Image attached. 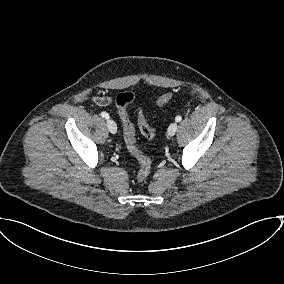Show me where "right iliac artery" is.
I'll return each instance as SVG.
<instances>
[{"label":"right iliac artery","mask_w":284,"mask_h":284,"mask_svg":"<svg viewBox=\"0 0 284 284\" xmlns=\"http://www.w3.org/2000/svg\"><path fill=\"white\" fill-rule=\"evenodd\" d=\"M101 116L105 119H109V114L106 112H101Z\"/></svg>","instance_id":"obj_1"}]
</instances>
